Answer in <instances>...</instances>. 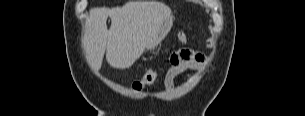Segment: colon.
<instances>
[{"label": "colon", "instance_id": "5ec220e1", "mask_svg": "<svg viewBox=\"0 0 305 116\" xmlns=\"http://www.w3.org/2000/svg\"><path fill=\"white\" fill-rule=\"evenodd\" d=\"M177 38L180 43L184 44L187 42V35L184 31H179ZM157 76L158 72L155 69H149L140 79L133 82V90L138 93L143 92L147 87L154 83V81L157 79Z\"/></svg>", "mask_w": 305, "mask_h": 116}]
</instances>
